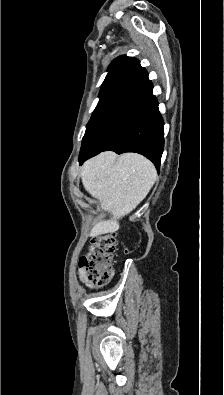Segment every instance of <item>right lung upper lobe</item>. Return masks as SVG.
I'll return each mask as SVG.
<instances>
[{
	"instance_id": "right-lung-upper-lobe-1",
	"label": "right lung upper lobe",
	"mask_w": 224,
	"mask_h": 395,
	"mask_svg": "<svg viewBox=\"0 0 224 395\" xmlns=\"http://www.w3.org/2000/svg\"><path fill=\"white\" fill-rule=\"evenodd\" d=\"M130 59H132L131 57H127V56H120L117 57L115 60L112 61V63L109 65L108 68V75H112L115 73H119V71L122 69V67L124 66V64L126 62H128Z\"/></svg>"
}]
</instances>
